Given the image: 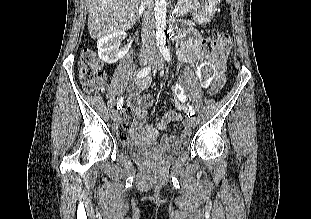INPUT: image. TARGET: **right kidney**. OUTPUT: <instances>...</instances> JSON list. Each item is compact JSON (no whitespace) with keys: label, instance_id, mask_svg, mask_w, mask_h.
<instances>
[{"label":"right kidney","instance_id":"obj_1","mask_svg":"<svg viewBox=\"0 0 311 219\" xmlns=\"http://www.w3.org/2000/svg\"><path fill=\"white\" fill-rule=\"evenodd\" d=\"M126 37V33L121 31L100 38L97 42L99 58L108 64L116 63L123 58L128 53L132 43L127 40V44L120 47L121 41Z\"/></svg>","mask_w":311,"mask_h":219}]
</instances>
